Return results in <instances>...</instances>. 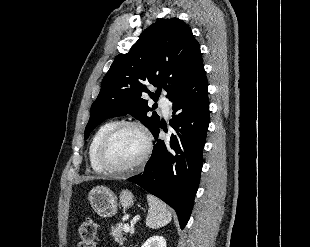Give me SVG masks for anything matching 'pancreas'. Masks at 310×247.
Instances as JSON below:
<instances>
[{
    "instance_id": "pancreas-1",
    "label": "pancreas",
    "mask_w": 310,
    "mask_h": 247,
    "mask_svg": "<svg viewBox=\"0 0 310 247\" xmlns=\"http://www.w3.org/2000/svg\"><path fill=\"white\" fill-rule=\"evenodd\" d=\"M123 230L124 229L122 223H119L116 226L112 227L110 234L114 238L115 242H117L118 244H123V242L126 240Z\"/></svg>"
}]
</instances>
